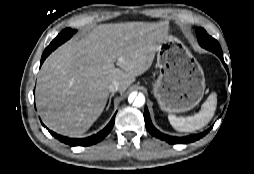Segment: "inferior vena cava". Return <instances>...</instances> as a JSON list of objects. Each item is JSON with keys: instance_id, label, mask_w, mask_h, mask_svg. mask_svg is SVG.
Segmentation results:
<instances>
[{"instance_id": "602c4592", "label": "inferior vena cava", "mask_w": 254, "mask_h": 174, "mask_svg": "<svg viewBox=\"0 0 254 174\" xmlns=\"http://www.w3.org/2000/svg\"><path fill=\"white\" fill-rule=\"evenodd\" d=\"M120 88V83L118 81H113L110 85H109V91L110 92H116L118 91Z\"/></svg>"}]
</instances>
